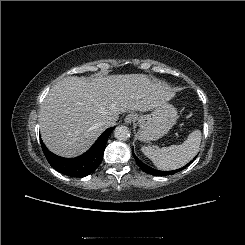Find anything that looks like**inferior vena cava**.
<instances>
[{"label":"inferior vena cava","instance_id":"602c4592","mask_svg":"<svg viewBox=\"0 0 245 245\" xmlns=\"http://www.w3.org/2000/svg\"><path fill=\"white\" fill-rule=\"evenodd\" d=\"M116 119L115 118H109L108 120H106L103 125L107 128V127H111L116 125Z\"/></svg>","mask_w":245,"mask_h":245}]
</instances>
